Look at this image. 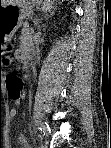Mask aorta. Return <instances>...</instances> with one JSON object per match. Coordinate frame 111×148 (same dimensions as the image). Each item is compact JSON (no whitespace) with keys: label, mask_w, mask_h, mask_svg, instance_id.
I'll return each instance as SVG.
<instances>
[{"label":"aorta","mask_w":111,"mask_h":148,"mask_svg":"<svg viewBox=\"0 0 111 148\" xmlns=\"http://www.w3.org/2000/svg\"><path fill=\"white\" fill-rule=\"evenodd\" d=\"M53 1L46 0L42 5V11L47 13L52 8Z\"/></svg>","instance_id":"1"}]
</instances>
